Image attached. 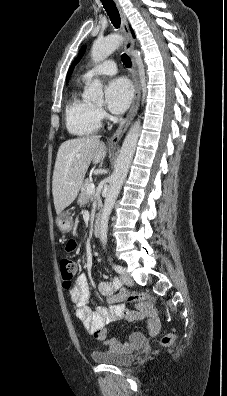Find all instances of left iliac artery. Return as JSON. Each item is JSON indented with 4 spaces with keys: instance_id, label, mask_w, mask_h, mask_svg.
<instances>
[{
    "instance_id": "obj_1",
    "label": "left iliac artery",
    "mask_w": 227,
    "mask_h": 396,
    "mask_svg": "<svg viewBox=\"0 0 227 396\" xmlns=\"http://www.w3.org/2000/svg\"><path fill=\"white\" fill-rule=\"evenodd\" d=\"M112 266H113L114 270H115L116 272H118V273H122V272L124 271V270H123V267L120 266V265L113 264Z\"/></svg>"
}]
</instances>
